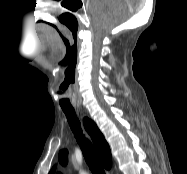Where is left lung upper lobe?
Listing matches in <instances>:
<instances>
[{
  "label": "left lung upper lobe",
  "mask_w": 187,
  "mask_h": 174,
  "mask_svg": "<svg viewBox=\"0 0 187 174\" xmlns=\"http://www.w3.org/2000/svg\"><path fill=\"white\" fill-rule=\"evenodd\" d=\"M67 151L66 150H62L60 152V155H59V161L62 165H66L67 164ZM54 172V168L52 169V171L50 172V174H52Z\"/></svg>",
  "instance_id": "obj_1"
}]
</instances>
